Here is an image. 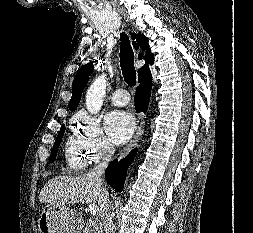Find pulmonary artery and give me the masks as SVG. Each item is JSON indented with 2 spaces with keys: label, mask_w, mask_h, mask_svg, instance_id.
Masks as SVG:
<instances>
[{
  "label": "pulmonary artery",
  "mask_w": 253,
  "mask_h": 233,
  "mask_svg": "<svg viewBox=\"0 0 253 233\" xmlns=\"http://www.w3.org/2000/svg\"><path fill=\"white\" fill-rule=\"evenodd\" d=\"M130 101V96L125 89L116 90L111 96V102L115 106H126Z\"/></svg>",
  "instance_id": "1"
}]
</instances>
